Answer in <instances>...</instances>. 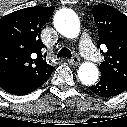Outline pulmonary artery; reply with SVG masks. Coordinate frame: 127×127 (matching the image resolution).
<instances>
[{
  "label": "pulmonary artery",
  "mask_w": 127,
  "mask_h": 127,
  "mask_svg": "<svg viewBox=\"0 0 127 127\" xmlns=\"http://www.w3.org/2000/svg\"><path fill=\"white\" fill-rule=\"evenodd\" d=\"M79 49L84 58L89 61L97 62L100 60V55L95 49L87 32H83L78 41Z\"/></svg>",
  "instance_id": "pulmonary-artery-1"
}]
</instances>
